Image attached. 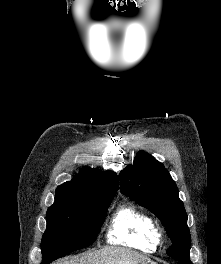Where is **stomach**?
<instances>
[{
	"instance_id": "1",
	"label": "stomach",
	"mask_w": 221,
	"mask_h": 264,
	"mask_svg": "<svg viewBox=\"0 0 221 264\" xmlns=\"http://www.w3.org/2000/svg\"><path fill=\"white\" fill-rule=\"evenodd\" d=\"M141 264H158V263L152 260H147V261H143Z\"/></svg>"
}]
</instances>
